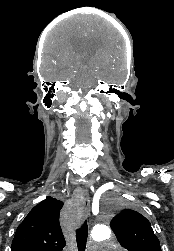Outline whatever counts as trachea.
<instances>
[{"instance_id":"3493384b","label":"trachea","mask_w":174,"mask_h":251,"mask_svg":"<svg viewBox=\"0 0 174 251\" xmlns=\"http://www.w3.org/2000/svg\"><path fill=\"white\" fill-rule=\"evenodd\" d=\"M88 237V226L85 221L83 225L76 231V241L78 246V251H85L86 243Z\"/></svg>"}]
</instances>
